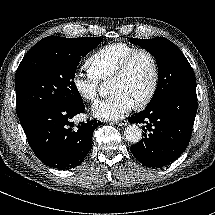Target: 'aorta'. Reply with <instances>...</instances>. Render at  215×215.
<instances>
[{
    "instance_id": "aorta-1",
    "label": "aorta",
    "mask_w": 215,
    "mask_h": 215,
    "mask_svg": "<svg viewBox=\"0 0 215 215\" xmlns=\"http://www.w3.org/2000/svg\"><path fill=\"white\" fill-rule=\"evenodd\" d=\"M124 135L128 142L136 144L142 139V129L136 125H129L125 129Z\"/></svg>"
}]
</instances>
